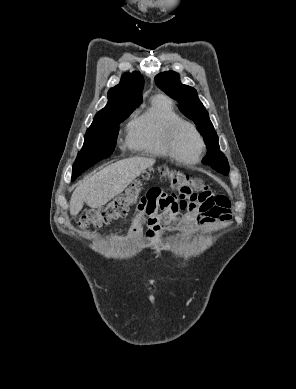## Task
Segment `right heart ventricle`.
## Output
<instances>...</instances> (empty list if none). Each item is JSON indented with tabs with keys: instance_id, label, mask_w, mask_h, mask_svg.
<instances>
[{
	"instance_id": "1",
	"label": "right heart ventricle",
	"mask_w": 296,
	"mask_h": 389,
	"mask_svg": "<svg viewBox=\"0 0 296 389\" xmlns=\"http://www.w3.org/2000/svg\"><path fill=\"white\" fill-rule=\"evenodd\" d=\"M181 119L173 101L158 94L144 112L134 116L127 124V145L142 154L168 158L165 148V133L168 126Z\"/></svg>"
}]
</instances>
